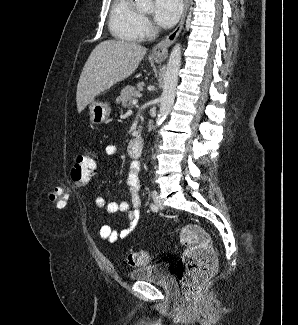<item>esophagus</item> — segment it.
Here are the masks:
<instances>
[{"mask_svg":"<svg viewBox=\"0 0 298 325\" xmlns=\"http://www.w3.org/2000/svg\"><path fill=\"white\" fill-rule=\"evenodd\" d=\"M189 7V0H184V11L181 17L180 22L178 23L177 27L173 32L169 33L161 42L157 43L155 47L152 48L150 56L153 58H166L168 56V49L169 47L174 43L177 36L181 32V29L183 27L187 11Z\"/></svg>","mask_w":298,"mask_h":325,"instance_id":"34e87169","label":"esophagus"}]
</instances>
